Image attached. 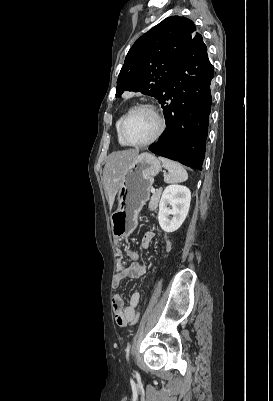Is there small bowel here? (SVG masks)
Returning <instances> with one entry per match:
<instances>
[{"instance_id": "obj_1", "label": "small bowel", "mask_w": 273, "mask_h": 401, "mask_svg": "<svg viewBox=\"0 0 273 401\" xmlns=\"http://www.w3.org/2000/svg\"><path fill=\"white\" fill-rule=\"evenodd\" d=\"M154 238L152 232L145 233L142 239V247L147 249ZM168 250L172 246V241L167 237ZM126 261L129 265L126 266ZM146 274L145 266L139 260V254L131 249L116 250V274L114 277L113 285L118 288L121 283L127 278H140L141 275ZM141 294L137 291L131 293L129 302L124 304L123 298L120 294H115L112 300L113 310L116 318V323L120 327L135 324L139 320V313L137 306L140 302Z\"/></svg>"}]
</instances>
